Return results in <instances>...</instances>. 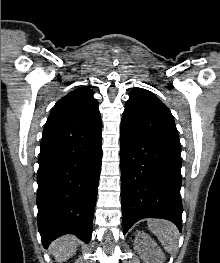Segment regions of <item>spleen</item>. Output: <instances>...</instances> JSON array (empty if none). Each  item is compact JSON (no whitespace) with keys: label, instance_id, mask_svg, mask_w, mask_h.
I'll return each mask as SVG.
<instances>
[{"label":"spleen","instance_id":"3e777b00","mask_svg":"<svg viewBox=\"0 0 220 263\" xmlns=\"http://www.w3.org/2000/svg\"><path fill=\"white\" fill-rule=\"evenodd\" d=\"M148 227L168 253L177 251L179 232L173 223L166 220H149Z\"/></svg>","mask_w":220,"mask_h":263}]
</instances>
